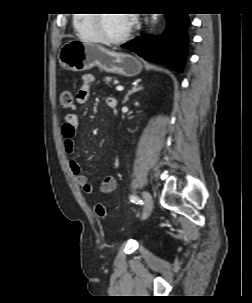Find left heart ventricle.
Returning <instances> with one entry per match:
<instances>
[{
    "instance_id": "obj_1",
    "label": "left heart ventricle",
    "mask_w": 252,
    "mask_h": 303,
    "mask_svg": "<svg viewBox=\"0 0 252 303\" xmlns=\"http://www.w3.org/2000/svg\"><path fill=\"white\" fill-rule=\"evenodd\" d=\"M130 23L131 20L128 14H105L103 20V28L109 36L117 37L122 35L128 29Z\"/></svg>"
}]
</instances>
